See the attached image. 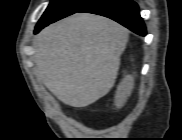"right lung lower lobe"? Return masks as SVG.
<instances>
[{
  "mask_svg": "<svg viewBox=\"0 0 182 140\" xmlns=\"http://www.w3.org/2000/svg\"><path fill=\"white\" fill-rule=\"evenodd\" d=\"M77 12H86L111 18L138 35L145 36V24L138 5L132 0H93ZM42 28L35 29L38 33Z\"/></svg>",
  "mask_w": 182,
  "mask_h": 140,
  "instance_id": "obj_1",
  "label": "right lung lower lobe"
}]
</instances>
